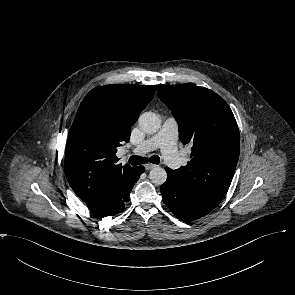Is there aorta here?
Listing matches in <instances>:
<instances>
[{"label": "aorta", "instance_id": "aorta-1", "mask_svg": "<svg viewBox=\"0 0 295 295\" xmlns=\"http://www.w3.org/2000/svg\"><path fill=\"white\" fill-rule=\"evenodd\" d=\"M138 122L141 130L147 134L156 133L161 126V120L159 115L150 111L141 114L138 119ZM149 178L152 183L156 185H162L163 183H165L167 179V173L164 168L156 166L153 169H151L149 173Z\"/></svg>", "mask_w": 295, "mask_h": 295}]
</instances>
